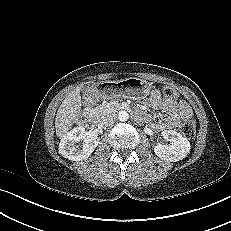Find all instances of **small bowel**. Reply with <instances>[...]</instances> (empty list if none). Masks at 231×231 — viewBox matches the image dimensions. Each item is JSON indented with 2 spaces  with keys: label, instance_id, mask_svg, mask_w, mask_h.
Wrapping results in <instances>:
<instances>
[{
  "label": "small bowel",
  "instance_id": "small-bowel-1",
  "mask_svg": "<svg viewBox=\"0 0 231 231\" xmlns=\"http://www.w3.org/2000/svg\"><path fill=\"white\" fill-rule=\"evenodd\" d=\"M147 104L155 110H163L167 112V115L159 121H154L149 115L144 117L146 122H148L155 130L159 131L173 129L177 126L180 120H184L192 115L191 108L185 101L163 99L159 90H153L151 92L147 99Z\"/></svg>",
  "mask_w": 231,
  "mask_h": 231
}]
</instances>
